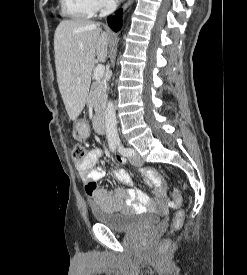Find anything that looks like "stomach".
<instances>
[{
  "instance_id": "1",
  "label": "stomach",
  "mask_w": 247,
  "mask_h": 275,
  "mask_svg": "<svg viewBox=\"0 0 247 275\" xmlns=\"http://www.w3.org/2000/svg\"><path fill=\"white\" fill-rule=\"evenodd\" d=\"M73 135L76 139H84L88 136L87 125L82 121H76L74 125Z\"/></svg>"
}]
</instances>
